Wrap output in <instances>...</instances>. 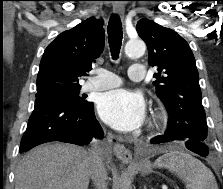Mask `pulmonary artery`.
I'll return each mask as SVG.
<instances>
[{
	"label": "pulmonary artery",
	"mask_w": 223,
	"mask_h": 189,
	"mask_svg": "<svg viewBox=\"0 0 223 189\" xmlns=\"http://www.w3.org/2000/svg\"><path fill=\"white\" fill-rule=\"evenodd\" d=\"M128 77L132 82H143L145 79V70L141 64H132L128 71ZM122 80L116 74L106 70L98 69L96 77L90 79L84 85L87 91H102L121 85Z\"/></svg>",
	"instance_id": "1"
}]
</instances>
